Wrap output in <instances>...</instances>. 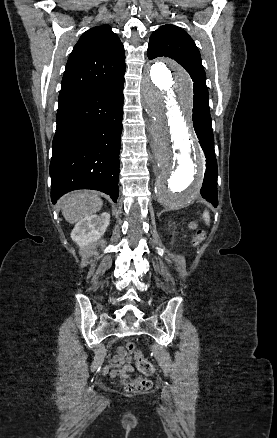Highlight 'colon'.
I'll list each match as a JSON object with an SVG mask.
<instances>
[{"mask_svg":"<svg viewBox=\"0 0 277 438\" xmlns=\"http://www.w3.org/2000/svg\"><path fill=\"white\" fill-rule=\"evenodd\" d=\"M192 228L194 230L192 240L195 244H198L203 239L204 234L198 229L196 224H192ZM126 347L129 353L135 359L136 365L142 373L148 375L154 373L155 369L153 363L144 357L141 351L136 350L132 342H127ZM122 385L127 392L136 393L145 389H156L157 381L146 380L142 377H125L122 381Z\"/></svg>","mask_w":277,"mask_h":438,"instance_id":"5ec220e1","label":"colon"}]
</instances>
